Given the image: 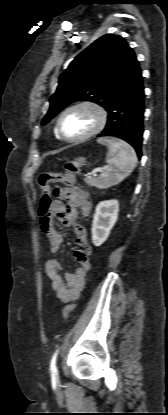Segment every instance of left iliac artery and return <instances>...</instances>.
<instances>
[{"mask_svg":"<svg viewBox=\"0 0 168 415\" xmlns=\"http://www.w3.org/2000/svg\"><path fill=\"white\" fill-rule=\"evenodd\" d=\"M57 354H58V350L54 353L52 359H51V364H50V369L52 372V375L55 376L57 368H56V358H57Z\"/></svg>","mask_w":168,"mask_h":415,"instance_id":"44dca946","label":"left iliac artery"}]
</instances>
